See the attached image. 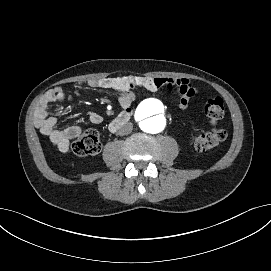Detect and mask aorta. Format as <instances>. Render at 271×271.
<instances>
[{"instance_id": "1", "label": "aorta", "mask_w": 271, "mask_h": 271, "mask_svg": "<svg viewBox=\"0 0 271 271\" xmlns=\"http://www.w3.org/2000/svg\"><path fill=\"white\" fill-rule=\"evenodd\" d=\"M135 119L144 132L159 133L166 126V107L154 98L143 100L135 110Z\"/></svg>"}]
</instances>
